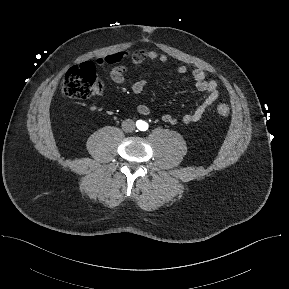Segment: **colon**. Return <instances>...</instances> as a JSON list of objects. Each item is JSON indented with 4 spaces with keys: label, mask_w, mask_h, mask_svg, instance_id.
Here are the masks:
<instances>
[{
    "label": "colon",
    "mask_w": 289,
    "mask_h": 289,
    "mask_svg": "<svg viewBox=\"0 0 289 289\" xmlns=\"http://www.w3.org/2000/svg\"><path fill=\"white\" fill-rule=\"evenodd\" d=\"M103 82L97 74V67L91 62L82 63L71 68L61 83V90L65 96L72 99H86L102 92ZM220 116L230 114L229 106L221 102L216 106Z\"/></svg>",
    "instance_id": "5ec220e1"
}]
</instances>
